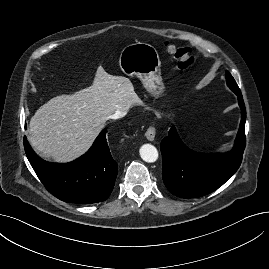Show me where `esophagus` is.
<instances>
[{
    "label": "esophagus",
    "mask_w": 269,
    "mask_h": 269,
    "mask_svg": "<svg viewBox=\"0 0 269 269\" xmlns=\"http://www.w3.org/2000/svg\"><path fill=\"white\" fill-rule=\"evenodd\" d=\"M156 135V128L154 126H150L146 133L145 136L149 141H153Z\"/></svg>",
    "instance_id": "esophagus-1"
}]
</instances>
